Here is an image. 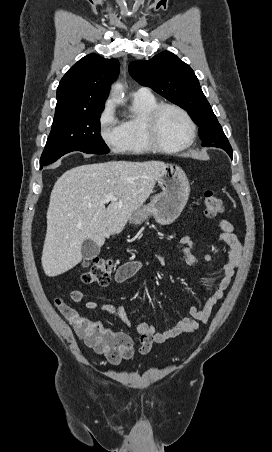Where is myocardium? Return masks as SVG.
Wrapping results in <instances>:
<instances>
[{"instance_id":"f54148a6","label":"myocardium","mask_w":272,"mask_h":452,"mask_svg":"<svg viewBox=\"0 0 272 452\" xmlns=\"http://www.w3.org/2000/svg\"><path fill=\"white\" fill-rule=\"evenodd\" d=\"M166 109L179 112L186 120L189 127V135L185 142L180 145L169 147L163 144L158 137V120L161 113ZM145 136L153 150L165 153H176L188 148L196 138V124L190 114L181 106L174 103H160L150 111L145 121Z\"/></svg>"}]
</instances>
